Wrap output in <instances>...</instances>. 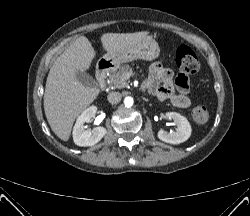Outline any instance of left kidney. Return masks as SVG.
Segmentation results:
<instances>
[{
    "instance_id": "1",
    "label": "left kidney",
    "mask_w": 250,
    "mask_h": 216,
    "mask_svg": "<svg viewBox=\"0 0 250 216\" xmlns=\"http://www.w3.org/2000/svg\"><path fill=\"white\" fill-rule=\"evenodd\" d=\"M166 117L176 123V131L168 133L161 129L158 131V138L170 144H180L188 140L192 129L187 118L176 112H168Z\"/></svg>"
}]
</instances>
